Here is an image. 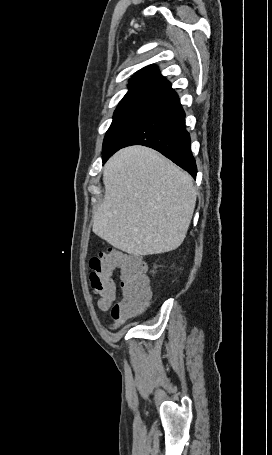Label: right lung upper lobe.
Here are the masks:
<instances>
[{"mask_svg": "<svg viewBox=\"0 0 272 455\" xmlns=\"http://www.w3.org/2000/svg\"><path fill=\"white\" fill-rule=\"evenodd\" d=\"M128 88V92L121 101L149 100L167 105L178 99V95L172 89L171 84L153 65L139 70L130 80Z\"/></svg>", "mask_w": 272, "mask_h": 455, "instance_id": "cb5924a9", "label": "right lung upper lobe"}]
</instances>
